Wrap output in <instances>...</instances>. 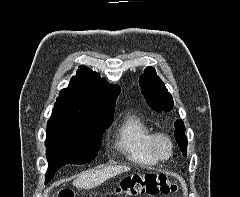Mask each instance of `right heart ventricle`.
Segmentation results:
<instances>
[{
    "label": "right heart ventricle",
    "instance_id": "obj_1",
    "mask_svg": "<svg viewBox=\"0 0 240 197\" xmlns=\"http://www.w3.org/2000/svg\"><path fill=\"white\" fill-rule=\"evenodd\" d=\"M151 134L144 120L135 114H127L116 130L115 148L133 163L155 166L158 161L149 148Z\"/></svg>",
    "mask_w": 240,
    "mask_h": 197
}]
</instances>
